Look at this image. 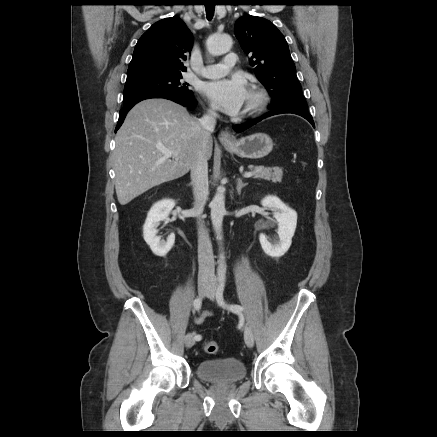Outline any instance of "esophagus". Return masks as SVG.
Masks as SVG:
<instances>
[{
  "instance_id": "obj_1",
  "label": "esophagus",
  "mask_w": 437,
  "mask_h": 437,
  "mask_svg": "<svg viewBox=\"0 0 437 437\" xmlns=\"http://www.w3.org/2000/svg\"><path fill=\"white\" fill-rule=\"evenodd\" d=\"M219 140L222 144L228 145L234 142V136L229 131L224 130L220 132Z\"/></svg>"
}]
</instances>
